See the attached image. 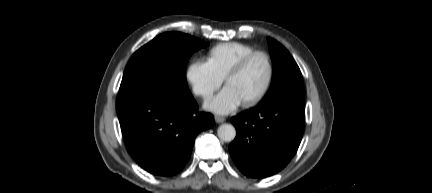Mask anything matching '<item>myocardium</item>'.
<instances>
[{
    "label": "myocardium",
    "mask_w": 432,
    "mask_h": 193,
    "mask_svg": "<svg viewBox=\"0 0 432 193\" xmlns=\"http://www.w3.org/2000/svg\"><path fill=\"white\" fill-rule=\"evenodd\" d=\"M257 56H262L266 59L267 66H268V75H267L266 82L263 88L261 89V91L253 98L242 102V105L246 108L253 107L259 104L267 96V94L271 89L274 80V75H275V68H274V63L271 55L265 50H255L249 53L248 55H246L245 57H243L240 61H238L225 76V85L227 86L228 83L238 74H240L249 65V63Z\"/></svg>",
    "instance_id": "1"
}]
</instances>
